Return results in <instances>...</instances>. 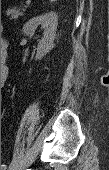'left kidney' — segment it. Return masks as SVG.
<instances>
[{
    "label": "left kidney",
    "instance_id": "left-kidney-1",
    "mask_svg": "<svg viewBox=\"0 0 109 170\" xmlns=\"http://www.w3.org/2000/svg\"><path fill=\"white\" fill-rule=\"evenodd\" d=\"M58 16L55 12H48L30 19L23 27V33L32 36L35 29L41 25L44 29L43 38L37 47L36 60H41L54 46Z\"/></svg>",
    "mask_w": 109,
    "mask_h": 170
}]
</instances>
